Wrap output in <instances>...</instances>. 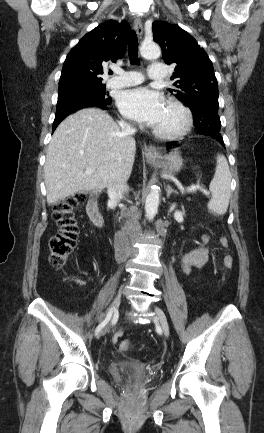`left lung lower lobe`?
Segmentation results:
<instances>
[{"label": "left lung lower lobe", "instance_id": "left-lung-lower-lobe-1", "mask_svg": "<svg viewBox=\"0 0 264 433\" xmlns=\"http://www.w3.org/2000/svg\"><path fill=\"white\" fill-rule=\"evenodd\" d=\"M192 112L197 133L211 137L224 146L223 138L220 133L221 122L218 115V107L203 105L197 107ZM174 143L175 142H168L167 147L171 148Z\"/></svg>", "mask_w": 264, "mask_h": 433}]
</instances>
